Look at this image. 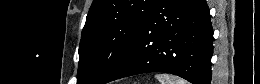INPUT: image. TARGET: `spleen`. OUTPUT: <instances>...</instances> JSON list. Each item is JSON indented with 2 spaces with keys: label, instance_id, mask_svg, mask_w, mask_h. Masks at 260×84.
<instances>
[{
  "label": "spleen",
  "instance_id": "spleen-1",
  "mask_svg": "<svg viewBox=\"0 0 260 84\" xmlns=\"http://www.w3.org/2000/svg\"><path fill=\"white\" fill-rule=\"evenodd\" d=\"M155 78L160 82V84H188L186 80L166 73L156 74Z\"/></svg>",
  "mask_w": 260,
  "mask_h": 84
}]
</instances>
